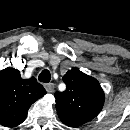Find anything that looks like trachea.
Listing matches in <instances>:
<instances>
[{"label":"trachea","instance_id":"trachea-1","mask_svg":"<svg viewBox=\"0 0 130 130\" xmlns=\"http://www.w3.org/2000/svg\"><path fill=\"white\" fill-rule=\"evenodd\" d=\"M40 82H44V83H48L51 80V74L49 72V70L45 69L43 70L38 77Z\"/></svg>","mask_w":130,"mask_h":130}]
</instances>
